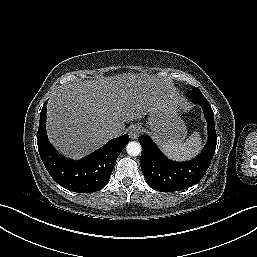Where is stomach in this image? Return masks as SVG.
Segmentation results:
<instances>
[{
  "label": "stomach",
  "instance_id": "1",
  "mask_svg": "<svg viewBox=\"0 0 257 257\" xmlns=\"http://www.w3.org/2000/svg\"><path fill=\"white\" fill-rule=\"evenodd\" d=\"M148 126L152 136L161 146L183 140L187 133L176 107L167 104H161L148 112Z\"/></svg>",
  "mask_w": 257,
  "mask_h": 257
}]
</instances>
